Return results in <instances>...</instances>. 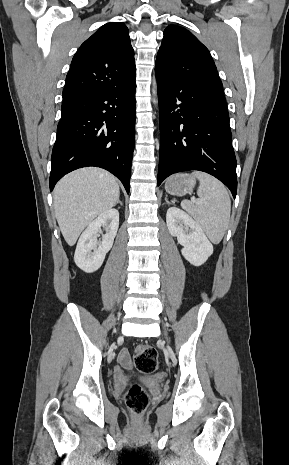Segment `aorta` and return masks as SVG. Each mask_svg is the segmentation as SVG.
I'll return each mask as SVG.
<instances>
[{"label": "aorta", "instance_id": "obj_1", "mask_svg": "<svg viewBox=\"0 0 289 465\" xmlns=\"http://www.w3.org/2000/svg\"><path fill=\"white\" fill-rule=\"evenodd\" d=\"M152 93L154 96L157 95V85H156V82L154 81L153 82V89H152ZM153 103L156 104L158 103V100L156 98L153 99Z\"/></svg>", "mask_w": 289, "mask_h": 465}]
</instances>
